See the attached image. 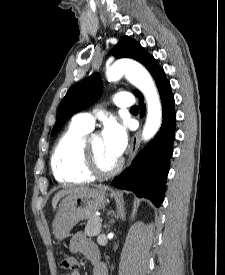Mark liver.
<instances>
[{"label":"liver","instance_id":"1","mask_svg":"<svg viewBox=\"0 0 225 275\" xmlns=\"http://www.w3.org/2000/svg\"><path fill=\"white\" fill-rule=\"evenodd\" d=\"M87 190H89V188L86 187V186L61 190V191L57 192L54 195V197L52 199V207L56 208V206H57L58 202L60 201V199L63 198L64 196H66V195L76 194V193L84 192V191H87Z\"/></svg>","mask_w":225,"mask_h":275}]
</instances>
